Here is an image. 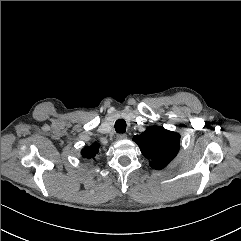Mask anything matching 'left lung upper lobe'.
<instances>
[{
	"instance_id": "obj_1",
	"label": "left lung upper lobe",
	"mask_w": 241,
	"mask_h": 241,
	"mask_svg": "<svg viewBox=\"0 0 241 241\" xmlns=\"http://www.w3.org/2000/svg\"><path fill=\"white\" fill-rule=\"evenodd\" d=\"M142 154L149 160L153 169H163L179 151L180 135L162 127H149L140 135L134 136Z\"/></svg>"
}]
</instances>
